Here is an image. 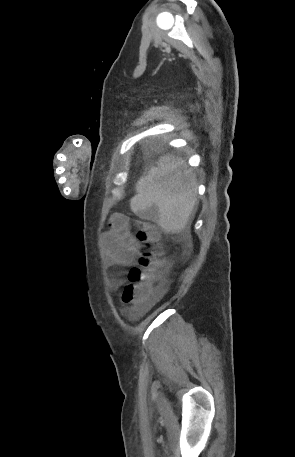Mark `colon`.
Instances as JSON below:
<instances>
[{
  "instance_id": "5ec220e1",
  "label": "colon",
  "mask_w": 295,
  "mask_h": 457,
  "mask_svg": "<svg viewBox=\"0 0 295 457\" xmlns=\"http://www.w3.org/2000/svg\"><path fill=\"white\" fill-rule=\"evenodd\" d=\"M137 226V239L146 249L139 257L138 265L128 271V284L122 293V302L131 315L143 310L152 293L154 282L161 276L164 268L159 231L146 220H139Z\"/></svg>"
}]
</instances>
